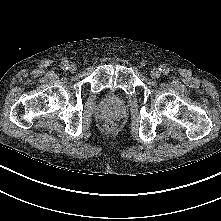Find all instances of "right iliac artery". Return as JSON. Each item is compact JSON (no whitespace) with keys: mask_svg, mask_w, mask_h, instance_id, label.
I'll list each match as a JSON object with an SVG mask.
<instances>
[{"mask_svg":"<svg viewBox=\"0 0 221 221\" xmlns=\"http://www.w3.org/2000/svg\"><path fill=\"white\" fill-rule=\"evenodd\" d=\"M61 68H62L63 70H67V69L69 68V62H68V61H63V62L61 63Z\"/></svg>","mask_w":221,"mask_h":221,"instance_id":"right-iliac-artery-1","label":"right iliac artery"}]
</instances>
